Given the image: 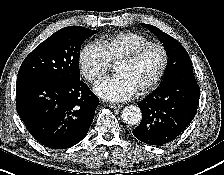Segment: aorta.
Returning <instances> with one entry per match:
<instances>
[{
    "mask_svg": "<svg viewBox=\"0 0 224 175\" xmlns=\"http://www.w3.org/2000/svg\"><path fill=\"white\" fill-rule=\"evenodd\" d=\"M142 112L139 107L130 105L122 111V119L128 125H136L141 121Z\"/></svg>",
    "mask_w": 224,
    "mask_h": 175,
    "instance_id": "aorta-1",
    "label": "aorta"
}]
</instances>
